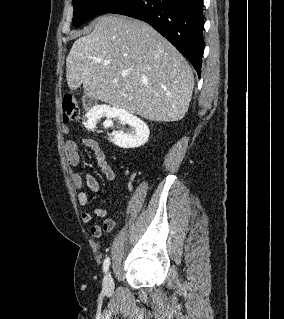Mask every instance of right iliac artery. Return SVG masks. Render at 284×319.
Wrapping results in <instances>:
<instances>
[{
    "label": "right iliac artery",
    "mask_w": 284,
    "mask_h": 319,
    "mask_svg": "<svg viewBox=\"0 0 284 319\" xmlns=\"http://www.w3.org/2000/svg\"><path fill=\"white\" fill-rule=\"evenodd\" d=\"M109 265H110V259H109V257H107V258L104 260V263H103V271H104V272H107V271H108Z\"/></svg>",
    "instance_id": "obj_1"
}]
</instances>
